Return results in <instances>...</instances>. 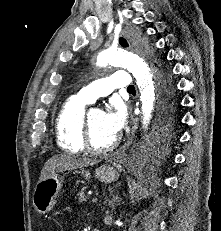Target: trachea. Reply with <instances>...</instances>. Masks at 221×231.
I'll return each mask as SVG.
<instances>
[{"instance_id":"trachea-1","label":"trachea","mask_w":221,"mask_h":231,"mask_svg":"<svg viewBox=\"0 0 221 231\" xmlns=\"http://www.w3.org/2000/svg\"><path fill=\"white\" fill-rule=\"evenodd\" d=\"M127 90L128 91L135 90V87L132 85V86L128 87Z\"/></svg>"}]
</instances>
